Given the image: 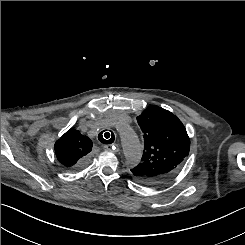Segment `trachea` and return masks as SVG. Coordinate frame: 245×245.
<instances>
[{"mask_svg":"<svg viewBox=\"0 0 245 245\" xmlns=\"http://www.w3.org/2000/svg\"><path fill=\"white\" fill-rule=\"evenodd\" d=\"M98 140L103 144H111L115 140L114 133L112 131H106L100 132L98 135Z\"/></svg>","mask_w":245,"mask_h":245,"instance_id":"obj_1","label":"trachea"}]
</instances>
